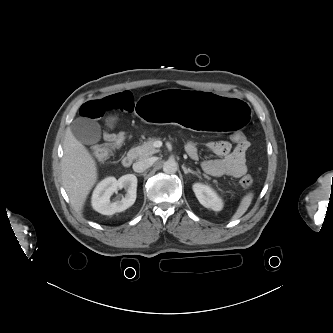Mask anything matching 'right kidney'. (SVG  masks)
<instances>
[{
  "label": "right kidney",
  "mask_w": 333,
  "mask_h": 333,
  "mask_svg": "<svg viewBox=\"0 0 333 333\" xmlns=\"http://www.w3.org/2000/svg\"><path fill=\"white\" fill-rule=\"evenodd\" d=\"M122 188L126 190L125 196L121 200L112 202L110 198L113 193ZM136 191L137 178L133 174L124 175L118 180L114 177H107L96 186L92 195V206L103 215L122 212L134 204Z\"/></svg>",
  "instance_id": "1"
}]
</instances>
